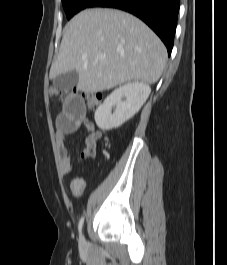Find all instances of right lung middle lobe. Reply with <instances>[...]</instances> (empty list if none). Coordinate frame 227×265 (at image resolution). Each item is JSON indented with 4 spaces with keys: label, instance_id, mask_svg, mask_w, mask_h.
Instances as JSON below:
<instances>
[{
    "label": "right lung middle lobe",
    "instance_id": "right-lung-middle-lobe-1",
    "mask_svg": "<svg viewBox=\"0 0 227 265\" xmlns=\"http://www.w3.org/2000/svg\"><path fill=\"white\" fill-rule=\"evenodd\" d=\"M93 0H62L66 16L70 19L80 10L87 8Z\"/></svg>",
    "mask_w": 227,
    "mask_h": 265
}]
</instances>
